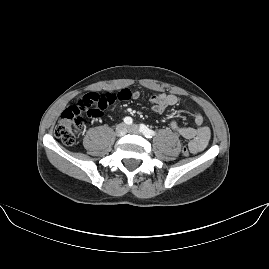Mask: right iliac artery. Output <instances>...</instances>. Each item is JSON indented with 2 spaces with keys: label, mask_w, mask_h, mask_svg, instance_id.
Segmentation results:
<instances>
[{
  "label": "right iliac artery",
  "mask_w": 269,
  "mask_h": 269,
  "mask_svg": "<svg viewBox=\"0 0 269 269\" xmlns=\"http://www.w3.org/2000/svg\"><path fill=\"white\" fill-rule=\"evenodd\" d=\"M124 122H125L127 125H131L132 122H133V120H132L131 117H125V118H124Z\"/></svg>",
  "instance_id": "right-iliac-artery-1"
}]
</instances>
